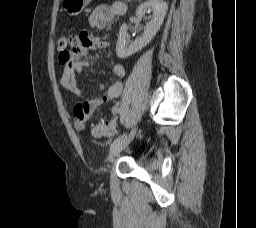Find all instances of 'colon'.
<instances>
[{"instance_id":"5ec220e1","label":"colon","mask_w":256,"mask_h":228,"mask_svg":"<svg viewBox=\"0 0 256 228\" xmlns=\"http://www.w3.org/2000/svg\"><path fill=\"white\" fill-rule=\"evenodd\" d=\"M57 45L59 48H62L66 45V37L62 36L58 39ZM109 122L107 120H100L92 126V135L99 137L107 132Z\"/></svg>"}]
</instances>
